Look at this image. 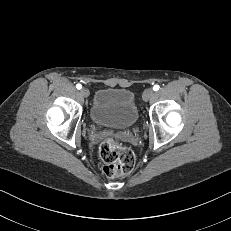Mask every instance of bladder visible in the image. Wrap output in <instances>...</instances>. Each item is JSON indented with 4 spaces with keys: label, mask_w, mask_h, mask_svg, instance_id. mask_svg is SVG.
I'll return each mask as SVG.
<instances>
[{
    "label": "bladder",
    "mask_w": 231,
    "mask_h": 231,
    "mask_svg": "<svg viewBox=\"0 0 231 231\" xmlns=\"http://www.w3.org/2000/svg\"><path fill=\"white\" fill-rule=\"evenodd\" d=\"M89 114L94 123L117 128H130L139 118L135 96L126 88L107 87L98 90Z\"/></svg>",
    "instance_id": "31cf9c89"
}]
</instances>
